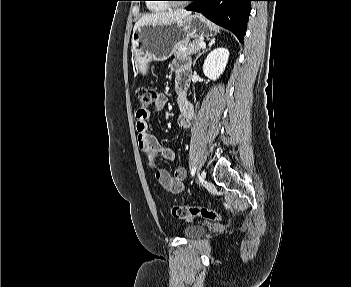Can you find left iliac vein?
Wrapping results in <instances>:
<instances>
[{
  "mask_svg": "<svg viewBox=\"0 0 351 287\" xmlns=\"http://www.w3.org/2000/svg\"><path fill=\"white\" fill-rule=\"evenodd\" d=\"M205 178H206L205 172L202 171V172L200 173V181L203 183V182L205 181Z\"/></svg>",
  "mask_w": 351,
  "mask_h": 287,
  "instance_id": "obj_1",
  "label": "left iliac vein"
}]
</instances>
